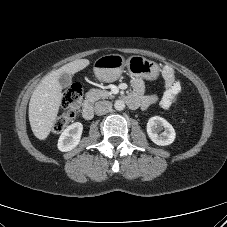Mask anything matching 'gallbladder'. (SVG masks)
<instances>
[{"label":"gallbladder","instance_id":"bac80fb5","mask_svg":"<svg viewBox=\"0 0 227 227\" xmlns=\"http://www.w3.org/2000/svg\"><path fill=\"white\" fill-rule=\"evenodd\" d=\"M72 82V76L68 73H62L59 76V83L62 88L68 87Z\"/></svg>","mask_w":227,"mask_h":227}]
</instances>
